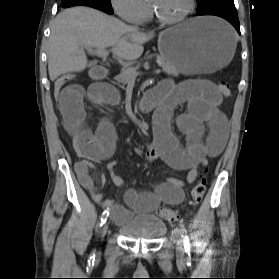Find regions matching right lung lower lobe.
<instances>
[{
  "mask_svg": "<svg viewBox=\"0 0 279 279\" xmlns=\"http://www.w3.org/2000/svg\"><path fill=\"white\" fill-rule=\"evenodd\" d=\"M61 1H62L61 6L63 8L77 6V5H83V6H89V7L99 9L108 14L113 13L112 9L107 8L106 6L102 5L98 0H61Z\"/></svg>",
  "mask_w": 279,
  "mask_h": 279,
  "instance_id": "right-lung-lower-lobe-1",
  "label": "right lung lower lobe"
}]
</instances>
